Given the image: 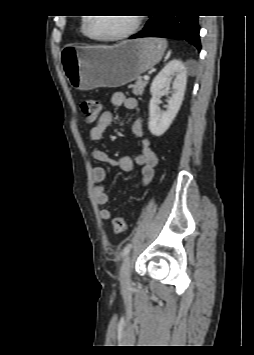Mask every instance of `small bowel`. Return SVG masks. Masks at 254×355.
Masks as SVG:
<instances>
[{"instance_id":"small-bowel-1","label":"small bowel","mask_w":254,"mask_h":355,"mask_svg":"<svg viewBox=\"0 0 254 355\" xmlns=\"http://www.w3.org/2000/svg\"><path fill=\"white\" fill-rule=\"evenodd\" d=\"M111 104L113 106H122L126 109L133 110L137 107V100L133 97H127L122 92H115L111 96ZM112 113L109 111L103 112L94 125L89 130V139L96 143L98 142L106 129L112 123ZM132 132L138 138L140 145V153L132 158L130 156H121L119 158H112L101 149L93 150V157L100 162H106L113 166L118 167L120 170L130 172L134 169L135 165L140 167V181L146 185L151 182L154 177L155 167L158 163V157L153 150L152 143L146 137L141 120H136L132 124ZM92 179L96 183L93 188V194L96 203L101 206L99 215L102 219H109L111 213L108 208L104 207L108 201L109 196L106 192L102 182L106 179V170L103 167L96 166L92 168Z\"/></svg>"}]
</instances>
